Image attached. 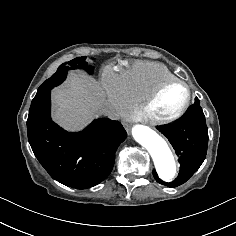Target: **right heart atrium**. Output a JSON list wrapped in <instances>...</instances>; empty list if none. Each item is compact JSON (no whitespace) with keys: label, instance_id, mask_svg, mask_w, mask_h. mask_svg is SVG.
<instances>
[{"label":"right heart atrium","instance_id":"d8ad5b80","mask_svg":"<svg viewBox=\"0 0 236 236\" xmlns=\"http://www.w3.org/2000/svg\"><path fill=\"white\" fill-rule=\"evenodd\" d=\"M101 80L106 85V94L113 106V116H123L130 103L125 96L122 79L110 71H105Z\"/></svg>","mask_w":236,"mask_h":236}]
</instances>
